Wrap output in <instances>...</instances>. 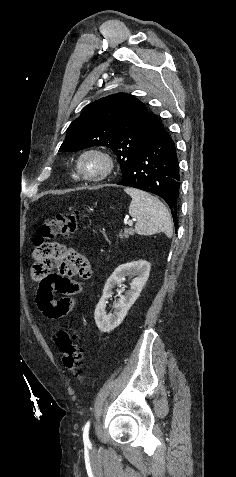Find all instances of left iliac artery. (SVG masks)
<instances>
[{"label": "left iliac artery", "mask_w": 236, "mask_h": 477, "mask_svg": "<svg viewBox=\"0 0 236 477\" xmlns=\"http://www.w3.org/2000/svg\"><path fill=\"white\" fill-rule=\"evenodd\" d=\"M89 427H90V421H88L83 428L84 444H89L90 443V441H89Z\"/></svg>", "instance_id": "44dca946"}]
</instances>
